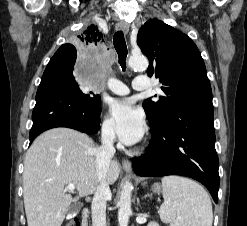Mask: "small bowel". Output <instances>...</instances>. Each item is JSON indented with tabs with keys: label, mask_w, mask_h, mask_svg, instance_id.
Returning a JSON list of instances; mask_svg holds the SVG:
<instances>
[{
	"label": "small bowel",
	"mask_w": 247,
	"mask_h": 226,
	"mask_svg": "<svg viewBox=\"0 0 247 226\" xmlns=\"http://www.w3.org/2000/svg\"><path fill=\"white\" fill-rule=\"evenodd\" d=\"M149 226H156V225H154V224H151V225H149Z\"/></svg>",
	"instance_id": "c3829d8e"
}]
</instances>
